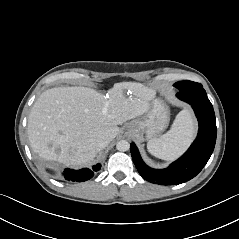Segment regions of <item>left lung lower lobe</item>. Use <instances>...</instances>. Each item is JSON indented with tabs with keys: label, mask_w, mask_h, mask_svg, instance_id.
<instances>
[{
	"label": "left lung lower lobe",
	"mask_w": 239,
	"mask_h": 239,
	"mask_svg": "<svg viewBox=\"0 0 239 239\" xmlns=\"http://www.w3.org/2000/svg\"><path fill=\"white\" fill-rule=\"evenodd\" d=\"M176 96L189 103L199 122L197 138L187 152L165 169L148 167L139 154L134 143L130 150L139 174L147 181L160 185H176L195 177L209 160L216 142V121L213 106L203 87L179 91Z\"/></svg>",
	"instance_id": "obj_1"
}]
</instances>
